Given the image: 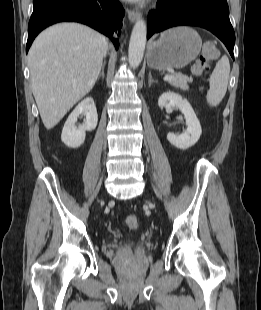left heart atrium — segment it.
I'll list each match as a JSON object with an SVG mask.
<instances>
[{"instance_id":"1","label":"left heart atrium","mask_w":261,"mask_h":310,"mask_svg":"<svg viewBox=\"0 0 261 310\" xmlns=\"http://www.w3.org/2000/svg\"><path fill=\"white\" fill-rule=\"evenodd\" d=\"M127 1H132V2H135V1H140V0H127Z\"/></svg>"}]
</instances>
